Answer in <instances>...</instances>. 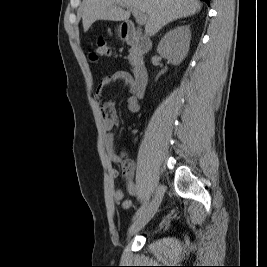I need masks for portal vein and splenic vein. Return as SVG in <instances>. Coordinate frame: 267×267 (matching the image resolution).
<instances>
[{"label":"portal vein and splenic vein","mask_w":267,"mask_h":267,"mask_svg":"<svg viewBox=\"0 0 267 267\" xmlns=\"http://www.w3.org/2000/svg\"><path fill=\"white\" fill-rule=\"evenodd\" d=\"M121 7H126V4L120 3L119 4ZM130 11L132 12L133 16L136 18L137 22L140 25H143L146 22V15L139 10L135 8H130Z\"/></svg>","instance_id":"1"}]
</instances>
